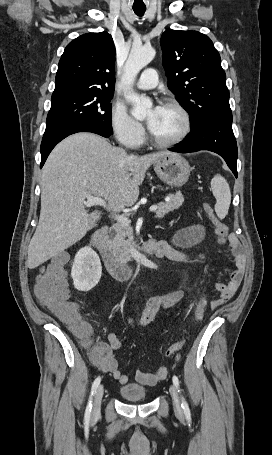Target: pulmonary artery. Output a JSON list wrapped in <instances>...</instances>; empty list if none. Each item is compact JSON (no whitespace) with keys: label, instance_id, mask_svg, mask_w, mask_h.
I'll list each match as a JSON object with an SVG mask.
<instances>
[{"label":"pulmonary artery","instance_id":"obj_1","mask_svg":"<svg viewBox=\"0 0 272 455\" xmlns=\"http://www.w3.org/2000/svg\"><path fill=\"white\" fill-rule=\"evenodd\" d=\"M158 75L155 69L148 68L139 77L136 86L140 89L148 90L156 87Z\"/></svg>","mask_w":272,"mask_h":455}]
</instances>
